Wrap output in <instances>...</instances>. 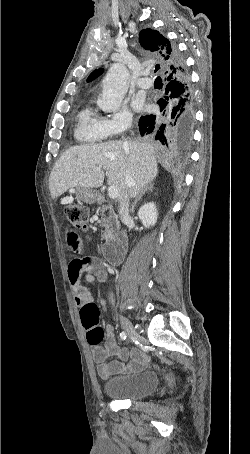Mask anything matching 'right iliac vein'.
Instances as JSON below:
<instances>
[{"mask_svg": "<svg viewBox=\"0 0 250 454\" xmlns=\"http://www.w3.org/2000/svg\"><path fill=\"white\" fill-rule=\"evenodd\" d=\"M117 317L119 318L120 323L123 326V328H124L125 332L127 333L128 337L130 339L136 338L137 334H136L131 322L129 321V319L127 317L121 315V314H117Z\"/></svg>", "mask_w": 250, "mask_h": 454, "instance_id": "obj_1", "label": "right iliac vein"}]
</instances>
